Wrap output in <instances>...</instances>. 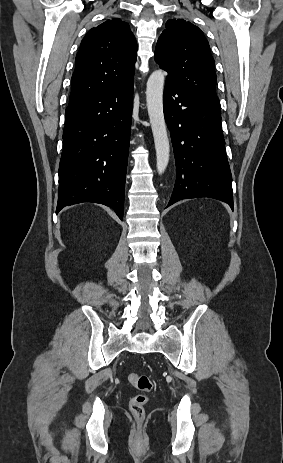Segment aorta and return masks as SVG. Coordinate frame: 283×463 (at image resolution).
I'll use <instances>...</instances> for the list:
<instances>
[{
  "mask_svg": "<svg viewBox=\"0 0 283 463\" xmlns=\"http://www.w3.org/2000/svg\"><path fill=\"white\" fill-rule=\"evenodd\" d=\"M164 81V71L156 70L150 75L146 89L147 109L156 150V167L160 175L166 170L170 156V145L163 113Z\"/></svg>",
  "mask_w": 283,
  "mask_h": 463,
  "instance_id": "762f6f07",
  "label": "aorta"
}]
</instances>
